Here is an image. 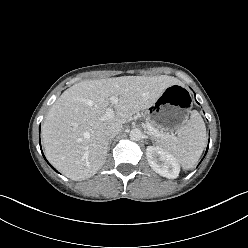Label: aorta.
Wrapping results in <instances>:
<instances>
[{"mask_svg": "<svg viewBox=\"0 0 248 248\" xmlns=\"http://www.w3.org/2000/svg\"><path fill=\"white\" fill-rule=\"evenodd\" d=\"M129 136H130L131 140L139 141L142 138L143 134H142V131L140 129L135 128V129H132L130 131Z\"/></svg>", "mask_w": 248, "mask_h": 248, "instance_id": "1", "label": "aorta"}]
</instances>
